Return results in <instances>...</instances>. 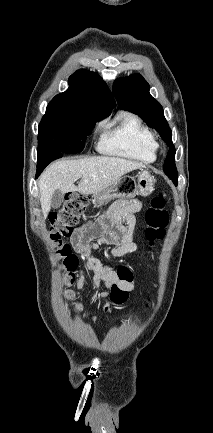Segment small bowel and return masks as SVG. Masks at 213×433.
I'll return each mask as SVG.
<instances>
[{"label": "small bowel", "mask_w": 213, "mask_h": 433, "mask_svg": "<svg viewBox=\"0 0 213 433\" xmlns=\"http://www.w3.org/2000/svg\"><path fill=\"white\" fill-rule=\"evenodd\" d=\"M140 210V202L120 200L111 206L106 215L97 220H89L73 231L70 235V242L82 261V265L80 267L77 265L73 271L76 272V287L78 289L83 287L84 274L87 271L93 273L91 287L93 291L101 284L106 288V290L98 293L97 297L100 300L111 295L114 286L125 291L134 289L131 282L120 281L117 271L103 264L96 257L95 252L104 245L112 246L110 254L116 258L136 252L138 249L135 241L138 230L136 214ZM108 306V303H105L104 309H108Z\"/></svg>", "instance_id": "obj_1"}]
</instances>
